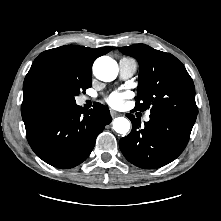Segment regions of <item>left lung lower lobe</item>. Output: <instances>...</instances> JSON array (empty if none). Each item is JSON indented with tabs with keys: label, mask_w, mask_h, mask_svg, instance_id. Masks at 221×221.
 I'll return each instance as SVG.
<instances>
[{
	"label": "left lung lower lobe",
	"mask_w": 221,
	"mask_h": 221,
	"mask_svg": "<svg viewBox=\"0 0 221 221\" xmlns=\"http://www.w3.org/2000/svg\"><path fill=\"white\" fill-rule=\"evenodd\" d=\"M132 131L119 141L120 150L132 164L153 169L175 160L185 149L194 123L165 114H150V120L141 123L127 114Z\"/></svg>",
	"instance_id": "left-lung-lower-lobe-1"
}]
</instances>
